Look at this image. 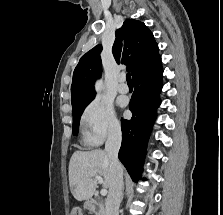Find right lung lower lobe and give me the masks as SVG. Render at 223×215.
I'll return each instance as SVG.
<instances>
[{"mask_svg":"<svg viewBox=\"0 0 223 215\" xmlns=\"http://www.w3.org/2000/svg\"><path fill=\"white\" fill-rule=\"evenodd\" d=\"M162 74L161 67L134 81L135 91L129 104L133 116L121 122L122 145L118 157L135 182L141 176L145 147L160 104Z\"/></svg>","mask_w":223,"mask_h":215,"instance_id":"right-lung-lower-lobe-1","label":"right lung lower lobe"}]
</instances>
